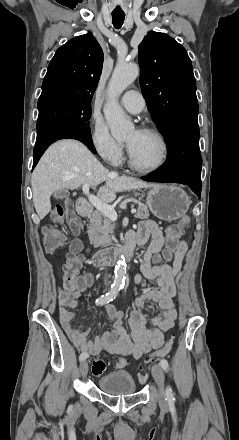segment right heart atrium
Returning a JSON list of instances; mask_svg holds the SVG:
<instances>
[{"label": "right heart atrium", "mask_w": 239, "mask_h": 440, "mask_svg": "<svg viewBox=\"0 0 239 440\" xmlns=\"http://www.w3.org/2000/svg\"><path fill=\"white\" fill-rule=\"evenodd\" d=\"M90 140L104 161L113 165H117L122 161L123 144L115 140L105 125L96 119L92 120Z\"/></svg>", "instance_id": "1"}]
</instances>
